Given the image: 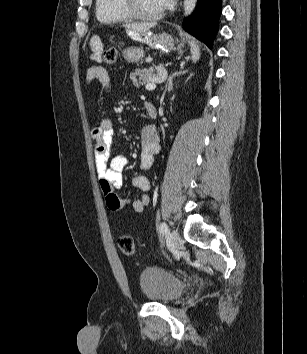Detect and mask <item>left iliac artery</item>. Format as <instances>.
<instances>
[{"mask_svg": "<svg viewBox=\"0 0 307 354\" xmlns=\"http://www.w3.org/2000/svg\"><path fill=\"white\" fill-rule=\"evenodd\" d=\"M159 231L162 235H165L169 232L168 226L165 222H162L159 226Z\"/></svg>", "mask_w": 307, "mask_h": 354, "instance_id": "obj_1", "label": "left iliac artery"}]
</instances>
